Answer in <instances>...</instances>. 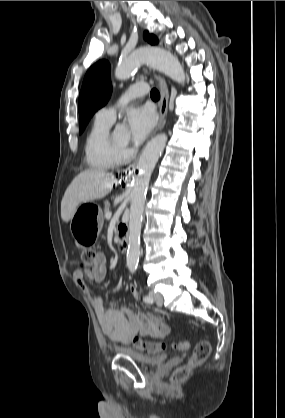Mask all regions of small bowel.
Masks as SVG:
<instances>
[{"label":"small bowel","mask_w":285,"mask_h":418,"mask_svg":"<svg viewBox=\"0 0 285 418\" xmlns=\"http://www.w3.org/2000/svg\"><path fill=\"white\" fill-rule=\"evenodd\" d=\"M106 277V258L102 253L97 255L91 267L75 271L73 274L75 282L83 289H87V281L103 284ZM130 291L134 297H138L134 285L130 286ZM91 301L103 334L118 346H128L137 334L164 338L170 333L169 325L152 314L135 313L125 307L114 306L106 309L102 297L98 294H92Z\"/></svg>","instance_id":"1"}]
</instances>
